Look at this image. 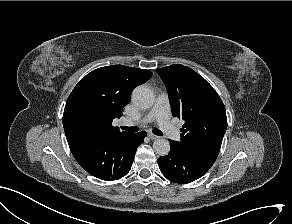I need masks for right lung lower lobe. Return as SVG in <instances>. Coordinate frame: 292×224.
Segmentation results:
<instances>
[{
    "mask_svg": "<svg viewBox=\"0 0 292 224\" xmlns=\"http://www.w3.org/2000/svg\"><path fill=\"white\" fill-rule=\"evenodd\" d=\"M146 132L121 137L70 139L68 144L76 161L88 173L102 180H118L131 169L137 147Z\"/></svg>",
    "mask_w": 292,
    "mask_h": 224,
    "instance_id": "1",
    "label": "right lung lower lobe"
}]
</instances>
